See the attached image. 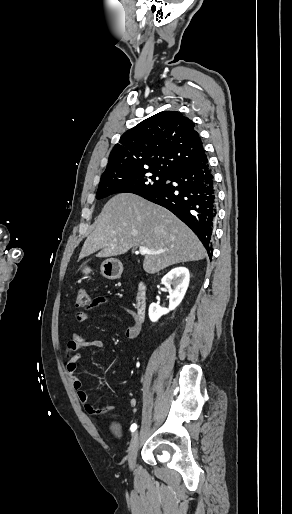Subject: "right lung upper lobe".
<instances>
[{
	"label": "right lung upper lobe",
	"instance_id": "1",
	"mask_svg": "<svg viewBox=\"0 0 292 514\" xmlns=\"http://www.w3.org/2000/svg\"><path fill=\"white\" fill-rule=\"evenodd\" d=\"M205 156L194 123L180 112L163 111L121 136L101 180L152 171L171 175Z\"/></svg>",
	"mask_w": 292,
	"mask_h": 514
}]
</instances>
